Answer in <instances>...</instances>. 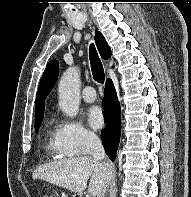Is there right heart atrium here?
<instances>
[{"label": "right heart atrium", "mask_w": 191, "mask_h": 197, "mask_svg": "<svg viewBox=\"0 0 191 197\" xmlns=\"http://www.w3.org/2000/svg\"><path fill=\"white\" fill-rule=\"evenodd\" d=\"M57 145L65 156L81 155L88 152L97 141V135L77 121H61L56 130Z\"/></svg>", "instance_id": "d8ad5b80"}]
</instances>
